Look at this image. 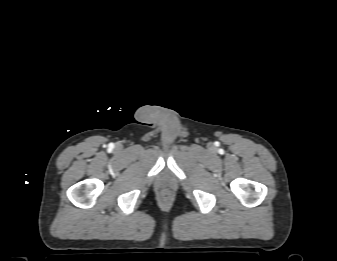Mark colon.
Returning <instances> with one entry per match:
<instances>
[{
  "label": "colon",
  "mask_w": 337,
  "mask_h": 261,
  "mask_svg": "<svg viewBox=\"0 0 337 261\" xmlns=\"http://www.w3.org/2000/svg\"><path fill=\"white\" fill-rule=\"evenodd\" d=\"M162 197H163L164 200H167V199H169L170 195H169V193H164L162 195Z\"/></svg>",
  "instance_id": "colon-1"
}]
</instances>
